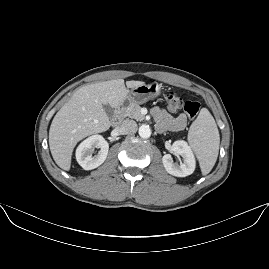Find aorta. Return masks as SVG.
<instances>
[{
  "mask_svg": "<svg viewBox=\"0 0 269 269\" xmlns=\"http://www.w3.org/2000/svg\"><path fill=\"white\" fill-rule=\"evenodd\" d=\"M139 135L142 138H149L151 136V129L148 125H141L139 127Z\"/></svg>",
  "mask_w": 269,
  "mask_h": 269,
  "instance_id": "762f6f07",
  "label": "aorta"
}]
</instances>
